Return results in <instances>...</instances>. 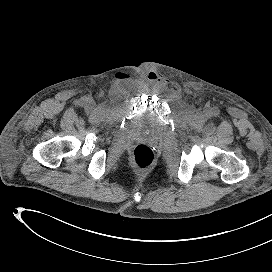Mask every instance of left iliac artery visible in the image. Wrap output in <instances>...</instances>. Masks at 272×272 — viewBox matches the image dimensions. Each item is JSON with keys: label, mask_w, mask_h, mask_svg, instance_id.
<instances>
[{"label": "left iliac artery", "mask_w": 272, "mask_h": 272, "mask_svg": "<svg viewBox=\"0 0 272 272\" xmlns=\"http://www.w3.org/2000/svg\"><path fill=\"white\" fill-rule=\"evenodd\" d=\"M213 114H214L215 116H217V115L219 114V111H218L217 109H215V110L213 111Z\"/></svg>", "instance_id": "left-iliac-artery-1"}]
</instances>
